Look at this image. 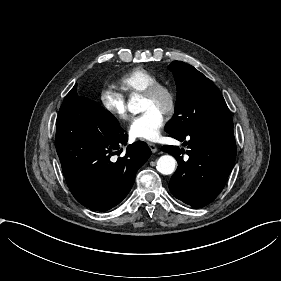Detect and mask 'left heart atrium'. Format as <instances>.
<instances>
[{"instance_id":"left-heart-atrium-1","label":"left heart atrium","mask_w":281,"mask_h":281,"mask_svg":"<svg viewBox=\"0 0 281 281\" xmlns=\"http://www.w3.org/2000/svg\"><path fill=\"white\" fill-rule=\"evenodd\" d=\"M163 126L164 117L162 113L149 109L132 120L128 127V133L133 138L156 142L161 138Z\"/></svg>"}]
</instances>
